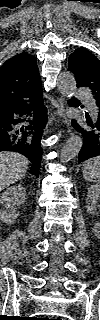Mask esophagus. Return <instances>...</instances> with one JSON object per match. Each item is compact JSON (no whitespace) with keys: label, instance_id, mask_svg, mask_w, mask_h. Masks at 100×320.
<instances>
[{"label":"esophagus","instance_id":"esophagus-1","mask_svg":"<svg viewBox=\"0 0 100 320\" xmlns=\"http://www.w3.org/2000/svg\"><path fill=\"white\" fill-rule=\"evenodd\" d=\"M59 107L57 111L55 112L56 115L62 117V122L65 124L70 125V121L65 117V108H64V99L59 98ZM68 132H71V128H69Z\"/></svg>","mask_w":100,"mask_h":320}]
</instances>
